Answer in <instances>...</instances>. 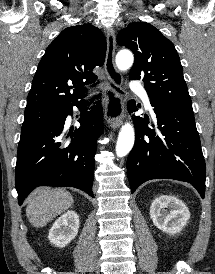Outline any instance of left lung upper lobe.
<instances>
[{
	"mask_svg": "<svg viewBox=\"0 0 215 274\" xmlns=\"http://www.w3.org/2000/svg\"><path fill=\"white\" fill-rule=\"evenodd\" d=\"M117 42L134 53L129 79H142L151 99L193 110L180 58L170 40L153 25L134 22L118 33Z\"/></svg>",
	"mask_w": 215,
	"mask_h": 274,
	"instance_id": "5c2ea615",
	"label": "left lung upper lobe"
}]
</instances>
